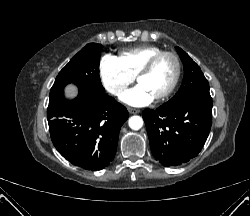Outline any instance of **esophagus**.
Masks as SVG:
<instances>
[{
    "label": "esophagus",
    "mask_w": 250,
    "mask_h": 216,
    "mask_svg": "<svg viewBox=\"0 0 250 216\" xmlns=\"http://www.w3.org/2000/svg\"><path fill=\"white\" fill-rule=\"evenodd\" d=\"M128 112L130 114H136V113H139L140 111L138 109H135V108H131V107H128Z\"/></svg>",
    "instance_id": "esophagus-1"
}]
</instances>
